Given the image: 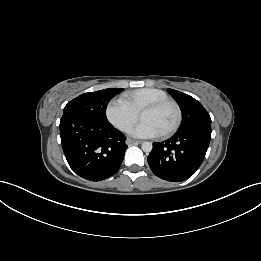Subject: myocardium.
Here are the masks:
<instances>
[{"instance_id":"1","label":"myocardium","mask_w":261,"mask_h":261,"mask_svg":"<svg viewBox=\"0 0 261 261\" xmlns=\"http://www.w3.org/2000/svg\"><path fill=\"white\" fill-rule=\"evenodd\" d=\"M169 105L173 106L175 108L176 118H175L174 123L171 125V127L162 133L163 136H169V135L173 134L181 124L182 112H181V109H180V106L178 105V103L175 102L174 100L165 99V100L149 103L142 109V112L146 111V110H157V109L163 108L165 106H169Z\"/></svg>"}]
</instances>
